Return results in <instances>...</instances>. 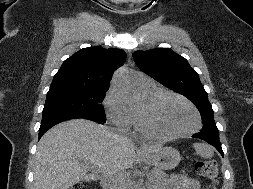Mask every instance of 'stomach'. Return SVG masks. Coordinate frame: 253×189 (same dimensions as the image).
Instances as JSON below:
<instances>
[{"label":"stomach","mask_w":253,"mask_h":189,"mask_svg":"<svg viewBox=\"0 0 253 189\" xmlns=\"http://www.w3.org/2000/svg\"><path fill=\"white\" fill-rule=\"evenodd\" d=\"M181 160L178 150L164 147L156 153L145 156V161L158 169L169 170L175 168Z\"/></svg>","instance_id":"0dacf381"}]
</instances>
